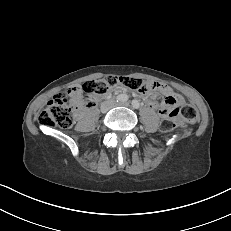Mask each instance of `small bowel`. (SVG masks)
I'll list each match as a JSON object with an SVG mask.
<instances>
[{"label": "small bowel", "instance_id": "obj_1", "mask_svg": "<svg viewBox=\"0 0 231 231\" xmlns=\"http://www.w3.org/2000/svg\"><path fill=\"white\" fill-rule=\"evenodd\" d=\"M149 84H155L157 86L156 91L154 94L160 93L164 95L165 101L162 103H157L154 100L150 98L151 95L145 94L144 99L147 101L149 107L156 109L161 116H165V113L170 110V107L175 104H182L183 98L176 94L170 87L158 84V83H149ZM121 87H116L113 91L119 92L121 91ZM69 93L73 99L80 100L82 98L81 89L79 86H74L69 89ZM153 94V95H154ZM80 111L78 112V115H80Z\"/></svg>", "mask_w": 231, "mask_h": 231}]
</instances>
